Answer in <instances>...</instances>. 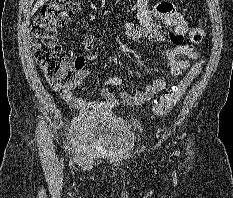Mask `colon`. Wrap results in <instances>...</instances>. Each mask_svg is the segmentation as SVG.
<instances>
[{
	"instance_id": "colon-1",
	"label": "colon",
	"mask_w": 233,
	"mask_h": 198,
	"mask_svg": "<svg viewBox=\"0 0 233 198\" xmlns=\"http://www.w3.org/2000/svg\"><path fill=\"white\" fill-rule=\"evenodd\" d=\"M80 0H53L46 5L31 26L32 43L36 60L50 87L60 93L70 92L76 84V74L67 65L66 54L57 42L58 30L78 9ZM204 37L201 27H193L189 31L191 43H198ZM190 45V44H189ZM81 64L82 60H76ZM202 60L197 61L188 71L184 79L167 92L159 101L155 102L153 111L157 115H164L173 110L181 100L184 92L199 74Z\"/></svg>"
}]
</instances>
